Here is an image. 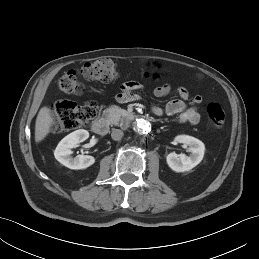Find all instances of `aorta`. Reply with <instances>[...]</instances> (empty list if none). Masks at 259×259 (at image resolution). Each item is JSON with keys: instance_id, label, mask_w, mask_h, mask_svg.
<instances>
[{"instance_id": "aorta-1", "label": "aorta", "mask_w": 259, "mask_h": 259, "mask_svg": "<svg viewBox=\"0 0 259 259\" xmlns=\"http://www.w3.org/2000/svg\"><path fill=\"white\" fill-rule=\"evenodd\" d=\"M134 130L140 135H147L151 131V125L145 119H137L134 123Z\"/></svg>"}]
</instances>
